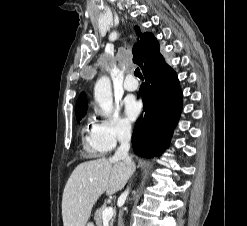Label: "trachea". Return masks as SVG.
I'll use <instances>...</instances> for the list:
<instances>
[{
	"label": "trachea",
	"instance_id": "3493384b",
	"mask_svg": "<svg viewBox=\"0 0 247 226\" xmlns=\"http://www.w3.org/2000/svg\"><path fill=\"white\" fill-rule=\"evenodd\" d=\"M134 75H135L136 77H139V78H142V77H143L142 74H141V72H140V69H139V68L135 69Z\"/></svg>",
	"mask_w": 247,
	"mask_h": 226
}]
</instances>
